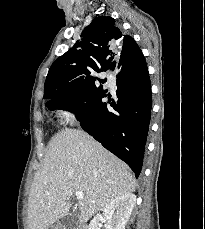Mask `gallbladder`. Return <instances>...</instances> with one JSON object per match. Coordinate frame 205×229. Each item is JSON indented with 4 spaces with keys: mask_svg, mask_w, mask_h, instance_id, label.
<instances>
[{
    "mask_svg": "<svg viewBox=\"0 0 205 229\" xmlns=\"http://www.w3.org/2000/svg\"><path fill=\"white\" fill-rule=\"evenodd\" d=\"M77 221V216H72L71 217V223L74 224Z\"/></svg>",
    "mask_w": 205,
    "mask_h": 229,
    "instance_id": "gallbladder-1",
    "label": "gallbladder"
}]
</instances>
